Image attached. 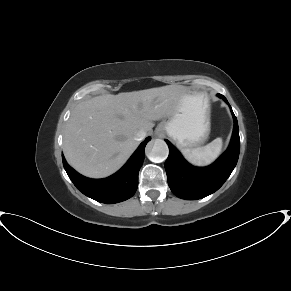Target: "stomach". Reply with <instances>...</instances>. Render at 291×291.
Segmentation results:
<instances>
[{
    "label": "stomach",
    "instance_id": "1",
    "mask_svg": "<svg viewBox=\"0 0 291 291\" xmlns=\"http://www.w3.org/2000/svg\"><path fill=\"white\" fill-rule=\"evenodd\" d=\"M210 113L206 92L183 88L173 111L158 125L156 132L167 134L180 148L198 147L209 137Z\"/></svg>",
    "mask_w": 291,
    "mask_h": 291
}]
</instances>
